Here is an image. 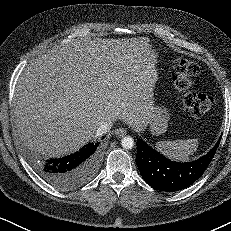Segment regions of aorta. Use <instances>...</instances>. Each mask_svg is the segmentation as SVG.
Instances as JSON below:
<instances>
[{
	"label": "aorta",
	"instance_id": "762f6f07",
	"mask_svg": "<svg viewBox=\"0 0 231 231\" xmlns=\"http://www.w3.org/2000/svg\"><path fill=\"white\" fill-rule=\"evenodd\" d=\"M121 145L124 149H132L134 146V139L130 136H125L121 139Z\"/></svg>",
	"mask_w": 231,
	"mask_h": 231
}]
</instances>
